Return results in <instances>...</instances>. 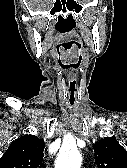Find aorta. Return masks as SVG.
Here are the masks:
<instances>
[{
  "label": "aorta",
  "instance_id": "762f6f07",
  "mask_svg": "<svg viewBox=\"0 0 127 168\" xmlns=\"http://www.w3.org/2000/svg\"><path fill=\"white\" fill-rule=\"evenodd\" d=\"M82 157L77 148L72 145L61 148L55 168H80Z\"/></svg>",
  "mask_w": 127,
  "mask_h": 168
}]
</instances>
